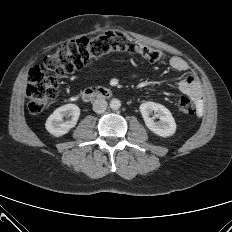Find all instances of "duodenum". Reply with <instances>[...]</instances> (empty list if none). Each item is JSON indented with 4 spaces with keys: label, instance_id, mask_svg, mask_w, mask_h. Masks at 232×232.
<instances>
[{
    "label": "duodenum",
    "instance_id": "1",
    "mask_svg": "<svg viewBox=\"0 0 232 232\" xmlns=\"http://www.w3.org/2000/svg\"><path fill=\"white\" fill-rule=\"evenodd\" d=\"M112 95V91L109 88L104 87H91L87 88L82 93V99L86 102L95 99H105Z\"/></svg>",
    "mask_w": 232,
    "mask_h": 232
}]
</instances>
